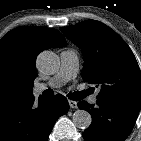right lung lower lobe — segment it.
<instances>
[{"label":"right lung lower lobe","instance_id":"right-lung-lower-lobe-1","mask_svg":"<svg viewBox=\"0 0 141 141\" xmlns=\"http://www.w3.org/2000/svg\"><path fill=\"white\" fill-rule=\"evenodd\" d=\"M69 109L62 95L22 97L0 104V141H47L56 120Z\"/></svg>","mask_w":141,"mask_h":141}]
</instances>
